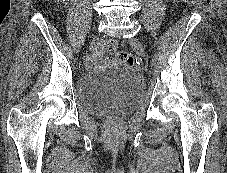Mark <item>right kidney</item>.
I'll use <instances>...</instances> for the list:
<instances>
[{
  "label": "right kidney",
  "instance_id": "obj_1",
  "mask_svg": "<svg viewBox=\"0 0 227 173\" xmlns=\"http://www.w3.org/2000/svg\"><path fill=\"white\" fill-rule=\"evenodd\" d=\"M58 1H60V2H66V1H69V0H58Z\"/></svg>",
  "mask_w": 227,
  "mask_h": 173
}]
</instances>
